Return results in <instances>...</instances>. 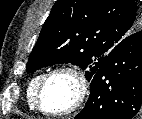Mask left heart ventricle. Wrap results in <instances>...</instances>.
Listing matches in <instances>:
<instances>
[{"mask_svg":"<svg viewBox=\"0 0 142 119\" xmlns=\"http://www.w3.org/2000/svg\"><path fill=\"white\" fill-rule=\"evenodd\" d=\"M77 93V84L68 74L52 77L43 92L42 102L45 109L62 111L72 105Z\"/></svg>","mask_w":142,"mask_h":119,"instance_id":"b2bd125f","label":"left heart ventricle"}]
</instances>
